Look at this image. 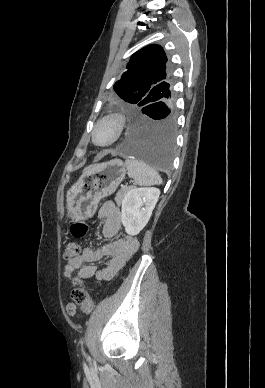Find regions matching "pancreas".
I'll return each instance as SVG.
<instances>
[{
  "mask_svg": "<svg viewBox=\"0 0 265 388\" xmlns=\"http://www.w3.org/2000/svg\"><path fill=\"white\" fill-rule=\"evenodd\" d=\"M130 188H123V190H119L118 194H116L115 202L117 206H121V202L126 196L127 192H129Z\"/></svg>",
  "mask_w": 265,
  "mask_h": 388,
  "instance_id": "cf45deb5",
  "label": "pancreas"
}]
</instances>
